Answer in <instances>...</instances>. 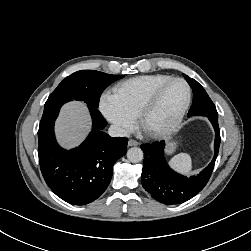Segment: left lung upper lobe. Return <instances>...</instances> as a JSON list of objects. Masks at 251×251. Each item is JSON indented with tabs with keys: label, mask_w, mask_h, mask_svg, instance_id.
Segmentation results:
<instances>
[{
	"label": "left lung upper lobe",
	"mask_w": 251,
	"mask_h": 251,
	"mask_svg": "<svg viewBox=\"0 0 251 251\" xmlns=\"http://www.w3.org/2000/svg\"><path fill=\"white\" fill-rule=\"evenodd\" d=\"M184 77L188 84L191 86L193 90V95L196 96L199 101L192 103V106L189 110L188 117L193 115H212L217 116V110L208 94L204 90V88L194 79H191L187 75L184 74Z\"/></svg>",
	"instance_id": "left-lung-upper-lobe-1"
}]
</instances>
